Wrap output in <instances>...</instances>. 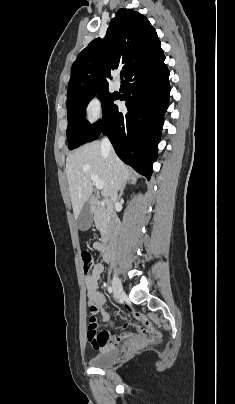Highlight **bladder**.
<instances>
[{"mask_svg":"<svg viewBox=\"0 0 235 404\" xmlns=\"http://www.w3.org/2000/svg\"><path fill=\"white\" fill-rule=\"evenodd\" d=\"M121 358V352L117 348L101 349L99 353L90 359V364L97 368H108L117 363Z\"/></svg>","mask_w":235,"mask_h":404,"instance_id":"1","label":"bladder"}]
</instances>
